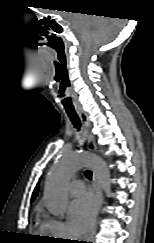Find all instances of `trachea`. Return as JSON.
I'll use <instances>...</instances> for the list:
<instances>
[{
	"label": "trachea",
	"mask_w": 154,
	"mask_h": 243,
	"mask_svg": "<svg viewBox=\"0 0 154 243\" xmlns=\"http://www.w3.org/2000/svg\"><path fill=\"white\" fill-rule=\"evenodd\" d=\"M66 113L68 114V116L70 117L74 127L77 130H80L81 124H80V120L78 115L76 114L75 110L73 108H65ZM85 176L87 179L91 180L92 179V172L87 170L85 171Z\"/></svg>",
	"instance_id": "trachea-1"
}]
</instances>
